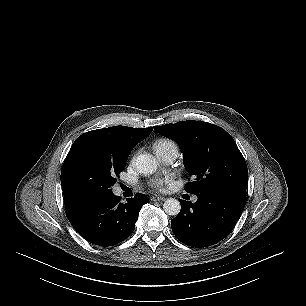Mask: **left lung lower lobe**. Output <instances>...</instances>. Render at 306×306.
<instances>
[{"label": "left lung lower lobe", "mask_w": 306, "mask_h": 306, "mask_svg": "<svg viewBox=\"0 0 306 306\" xmlns=\"http://www.w3.org/2000/svg\"><path fill=\"white\" fill-rule=\"evenodd\" d=\"M197 197L194 204L180 200L181 211L171 220L172 230L186 245L211 246L233 230L246 204V196L214 192Z\"/></svg>", "instance_id": "0a47b994"}]
</instances>
